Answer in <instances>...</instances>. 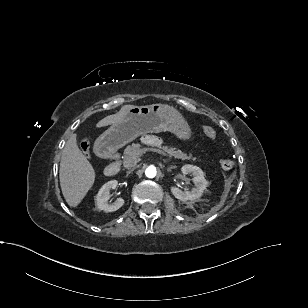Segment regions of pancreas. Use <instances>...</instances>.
<instances>
[{"mask_svg":"<svg viewBox=\"0 0 308 308\" xmlns=\"http://www.w3.org/2000/svg\"><path fill=\"white\" fill-rule=\"evenodd\" d=\"M159 150L160 153L169 157L180 158L182 160L191 159V156L183 153L181 150H176L174 147L162 146ZM145 148L141 149L140 144L132 143L128 145L123 153L122 163L125 168L135 166L140 161V156L144 153ZM195 160V158H192Z\"/></svg>","mask_w":308,"mask_h":308,"instance_id":"pancreas-1","label":"pancreas"}]
</instances>
